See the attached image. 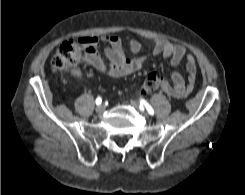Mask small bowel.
Segmentation results:
<instances>
[{"mask_svg":"<svg viewBox=\"0 0 245 195\" xmlns=\"http://www.w3.org/2000/svg\"><path fill=\"white\" fill-rule=\"evenodd\" d=\"M102 40L107 43L103 55L99 51L98 38L82 37L79 42L84 49L86 61L109 77L120 78L132 74L138 71L146 61V57L128 58L121 39L116 36H105ZM150 44L152 55L169 59L173 67H176L183 59L186 60L187 81L179 72L173 71L172 84L163 80L161 89L175 99L187 97L192 92L196 80L197 65L194 56L187 53L184 46L173 44L165 39H158ZM141 49L142 44L137 40L131 41L128 46L129 52L133 54L139 53Z\"/></svg>","mask_w":245,"mask_h":195,"instance_id":"c3829d8e","label":"small bowel"}]
</instances>
